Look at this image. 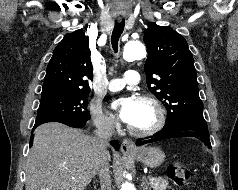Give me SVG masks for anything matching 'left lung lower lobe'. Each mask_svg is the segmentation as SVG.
Masks as SVG:
<instances>
[{"instance_id":"1","label":"left lung lower lobe","mask_w":238,"mask_h":190,"mask_svg":"<svg viewBox=\"0 0 238 190\" xmlns=\"http://www.w3.org/2000/svg\"><path fill=\"white\" fill-rule=\"evenodd\" d=\"M191 136L201 140L205 145L211 147L208 126L203 115H186L182 116L165 126L158 131L149 140H139L137 146L147 143L157 142L173 137Z\"/></svg>"}]
</instances>
